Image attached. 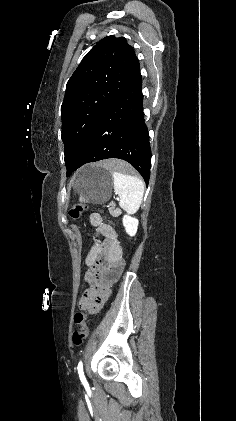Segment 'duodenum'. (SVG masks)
Here are the masks:
<instances>
[{"label": "duodenum", "mask_w": 236, "mask_h": 421, "mask_svg": "<svg viewBox=\"0 0 236 421\" xmlns=\"http://www.w3.org/2000/svg\"><path fill=\"white\" fill-rule=\"evenodd\" d=\"M93 262L96 263L99 286L86 302L92 301L98 307L107 300L110 287L122 272L121 251L112 244L99 245L96 247Z\"/></svg>", "instance_id": "duodenum-1"}]
</instances>
